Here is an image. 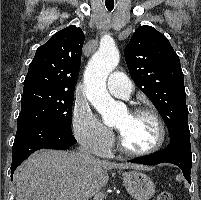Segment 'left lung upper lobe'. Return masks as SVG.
Instances as JSON below:
<instances>
[{"label":"left lung upper lobe","mask_w":201,"mask_h":200,"mask_svg":"<svg viewBox=\"0 0 201 200\" xmlns=\"http://www.w3.org/2000/svg\"><path fill=\"white\" fill-rule=\"evenodd\" d=\"M124 55L135 84L166 122L170 139L190 134L184 75L168 39L151 26H140Z\"/></svg>","instance_id":"left-lung-upper-lobe-1"}]
</instances>
